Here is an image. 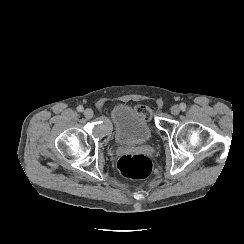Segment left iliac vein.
Instances as JSON below:
<instances>
[{
    "mask_svg": "<svg viewBox=\"0 0 244 244\" xmlns=\"http://www.w3.org/2000/svg\"><path fill=\"white\" fill-rule=\"evenodd\" d=\"M170 111L172 114L177 115L180 113V107L177 105H173L171 106Z\"/></svg>",
    "mask_w": 244,
    "mask_h": 244,
    "instance_id": "1",
    "label": "left iliac vein"
}]
</instances>
